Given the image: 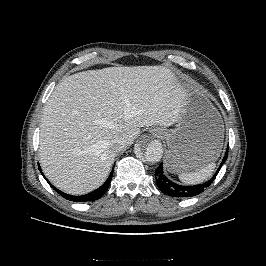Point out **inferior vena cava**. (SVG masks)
<instances>
[{
  "label": "inferior vena cava",
  "mask_w": 266,
  "mask_h": 266,
  "mask_svg": "<svg viewBox=\"0 0 266 266\" xmlns=\"http://www.w3.org/2000/svg\"><path fill=\"white\" fill-rule=\"evenodd\" d=\"M127 137L126 136H114L110 142L111 148L115 151H121L127 145Z\"/></svg>",
  "instance_id": "obj_1"
}]
</instances>
